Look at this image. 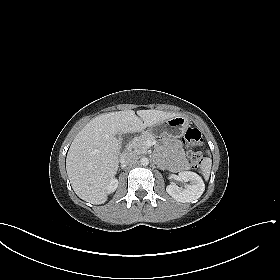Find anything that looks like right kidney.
Returning <instances> with one entry per match:
<instances>
[{
  "mask_svg": "<svg viewBox=\"0 0 280 280\" xmlns=\"http://www.w3.org/2000/svg\"><path fill=\"white\" fill-rule=\"evenodd\" d=\"M118 186V180L115 178H112L109 182V184L107 185V193H112L116 190Z\"/></svg>",
  "mask_w": 280,
  "mask_h": 280,
  "instance_id": "obj_1",
  "label": "right kidney"
}]
</instances>
